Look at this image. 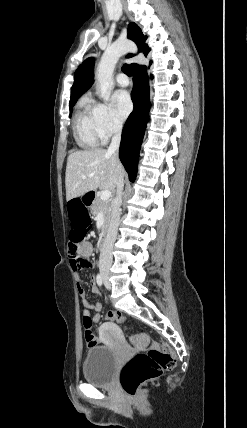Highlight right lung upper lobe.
<instances>
[{
  "label": "right lung upper lobe",
  "instance_id": "1",
  "mask_svg": "<svg viewBox=\"0 0 247 428\" xmlns=\"http://www.w3.org/2000/svg\"><path fill=\"white\" fill-rule=\"evenodd\" d=\"M128 38L133 40L137 46L138 51L143 52L145 56L150 51V48L145 44L147 39L143 35L141 29L135 24L130 23L128 28ZM133 54H128L127 57H132ZM138 66L137 64H131V68ZM94 81V59L88 58L75 72L74 84L71 89V98L69 104H75L78 98L88 90Z\"/></svg>",
  "mask_w": 247,
  "mask_h": 428
}]
</instances>
